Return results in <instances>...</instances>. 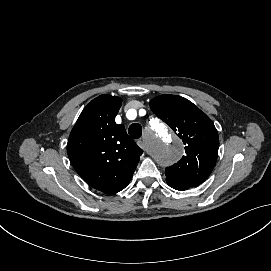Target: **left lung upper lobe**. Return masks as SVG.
<instances>
[{"instance_id": "left-lung-upper-lobe-1", "label": "left lung upper lobe", "mask_w": 271, "mask_h": 271, "mask_svg": "<svg viewBox=\"0 0 271 271\" xmlns=\"http://www.w3.org/2000/svg\"><path fill=\"white\" fill-rule=\"evenodd\" d=\"M153 113L166 122L185 144V155L165 168L166 179L191 187L203 183L217 160L219 137L210 120L186 98L161 95L150 102Z\"/></svg>"}]
</instances>
